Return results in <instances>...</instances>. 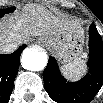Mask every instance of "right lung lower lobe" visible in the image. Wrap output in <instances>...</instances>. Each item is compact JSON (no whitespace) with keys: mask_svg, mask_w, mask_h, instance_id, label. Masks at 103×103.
<instances>
[{"mask_svg":"<svg viewBox=\"0 0 103 103\" xmlns=\"http://www.w3.org/2000/svg\"><path fill=\"white\" fill-rule=\"evenodd\" d=\"M26 45H22L12 54L0 55V93L7 99L13 90L14 79L19 68L20 55Z\"/></svg>","mask_w":103,"mask_h":103,"instance_id":"98d812e1","label":"right lung lower lobe"}]
</instances>
